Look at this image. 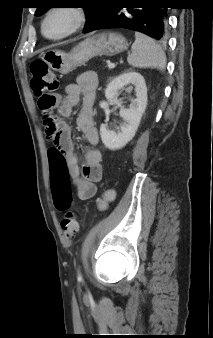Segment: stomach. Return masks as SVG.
<instances>
[{"mask_svg":"<svg viewBox=\"0 0 213 338\" xmlns=\"http://www.w3.org/2000/svg\"><path fill=\"white\" fill-rule=\"evenodd\" d=\"M128 43L121 34L114 32L93 33L76 45L70 53L50 50L42 59L61 74H67L98 55L114 56L125 51Z\"/></svg>","mask_w":213,"mask_h":338,"instance_id":"1","label":"stomach"}]
</instances>
